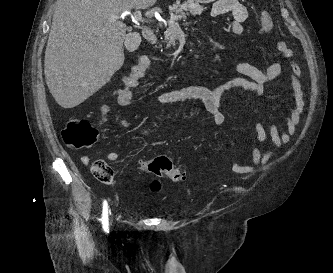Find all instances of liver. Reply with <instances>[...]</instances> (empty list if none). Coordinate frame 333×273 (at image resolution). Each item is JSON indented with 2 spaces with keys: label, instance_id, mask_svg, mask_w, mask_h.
<instances>
[{
  "label": "liver",
  "instance_id": "1",
  "mask_svg": "<svg viewBox=\"0 0 333 273\" xmlns=\"http://www.w3.org/2000/svg\"><path fill=\"white\" fill-rule=\"evenodd\" d=\"M157 0H58L44 74L55 101L74 108L101 89L124 63L126 25L115 19Z\"/></svg>",
  "mask_w": 333,
  "mask_h": 273
}]
</instances>
